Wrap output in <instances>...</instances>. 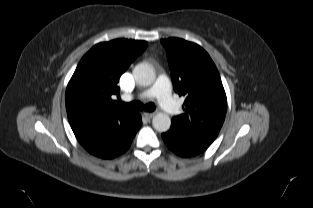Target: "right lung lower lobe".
Returning <instances> with one entry per match:
<instances>
[{"label": "right lung lower lobe", "instance_id": "1", "mask_svg": "<svg viewBox=\"0 0 313 208\" xmlns=\"http://www.w3.org/2000/svg\"><path fill=\"white\" fill-rule=\"evenodd\" d=\"M70 125L79 143L89 153L102 159H112L128 150L142 120L140 114L135 112L124 121L106 118Z\"/></svg>", "mask_w": 313, "mask_h": 208}]
</instances>
